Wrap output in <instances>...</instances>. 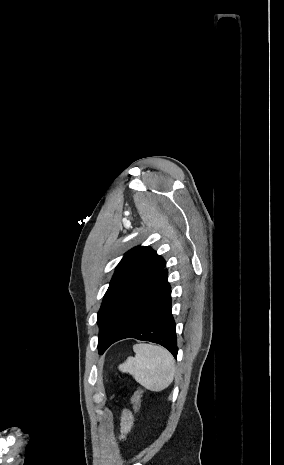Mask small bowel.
I'll return each instance as SVG.
<instances>
[{
	"label": "small bowel",
	"mask_w": 284,
	"mask_h": 465,
	"mask_svg": "<svg viewBox=\"0 0 284 465\" xmlns=\"http://www.w3.org/2000/svg\"><path fill=\"white\" fill-rule=\"evenodd\" d=\"M133 426V416L129 411H124L121 417L120 440H124Z\"/></svg>",
	"instance_id": "1"
}]
</instances>
